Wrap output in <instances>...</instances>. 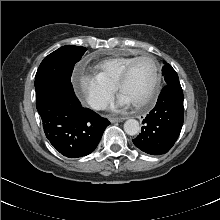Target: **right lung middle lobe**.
<instances>
[{
	"label": "right lung middle lobe",
	"mask_w": 220,
	"mask_h": 220,
	"mask_svg": "<svg viewBox=\"0 0 220 220\" xmlns=\"http://www.w3.org/2000/svg\"><path fill=\"white\" fill-rule=\"evenodd\" d=\"M85 51V47L66 45L46 56L35 76L36 98L52 87L73 88L72 71L75 63L81 59Z\"/></svg>",
	"instance_id": "obj_1"
}]
</instances>
